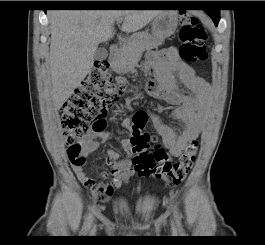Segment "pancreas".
Listing matches in <instances>:
<instances>
[{
  "mask_svg": "<svg viewBox=\"0 0 265 245\" xmlns=\"http://www.w3.org/2000/svg\"><path fill=\"white\" fill-rule=\"evenodd\" d=\"M162 43L163 39L155 38L147 31L132 35L115 55L112 62L113 70L119 74H126L132 71L145 49L156 48Z\"/></svg>",
  "mask_w": 265,
  "mask_h": 245,
  "instance_id": "obj_1",
  "label": "pancreas"
}]
</instances>
